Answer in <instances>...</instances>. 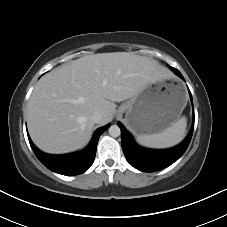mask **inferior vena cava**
<instances>
[{
    "mask_svg": "<svg viewBox=\"0 0 227 227\" xmlns=\"http://www.w3.org/2000/svg\"><path fill=\"white\" fill-rule=\"evenodd\" d=\"M91 121H93L94 123H99L102 119V113L99 111H96L92 114L91 116Z\"/></svg>",
    "mask_w": 227,
    "mask_h": 227,
    "instance_id": "602c4592",
    "label": "inferior vena cava"
}]
</instances>
